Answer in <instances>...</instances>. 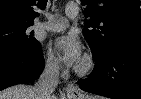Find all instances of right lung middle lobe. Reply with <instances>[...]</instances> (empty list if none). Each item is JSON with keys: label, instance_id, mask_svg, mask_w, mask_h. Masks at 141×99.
<instances>
[{"label": "right lung middle lobe", "instance_id": "dd1d6c3e", "mask_svg": "<svg viewBox=\"0 0 141 99\" xmlns=\"http://www.w3.org/2000/svg\"><path fill=\"white\" fill-rule=\"evenodd\" d=\"M33 22H0V50H31L40 48V43L30 32Z\"/></svg>", "mask_w": 141, "mask_h": 99}]
</instances>
